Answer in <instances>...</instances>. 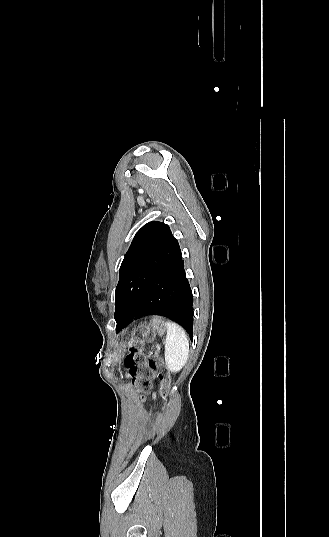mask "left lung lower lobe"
<instances>
[{
  "instance_id": "0a47b994",
  "label": "left lung lower lobe",
  "mask_w": 329,
  "mask_h": 537,
  "mask_svg": "<svg viewBox=\"0 0 329 537\" xmlns=\"http://www.w3.org/2000/svg\"><path fill=\"white\" fill-rule=\"evenodd\" d=\"M153 314L175 321L193 338V295L186 278L181 251L152 279L116 331L134 320Z\"/></svg>"
}]
</instances>
